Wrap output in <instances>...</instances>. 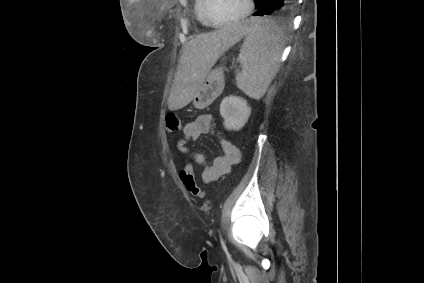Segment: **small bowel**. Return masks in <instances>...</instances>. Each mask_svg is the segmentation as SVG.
<instances>
[{
    "mask_svg": "<svg viewBox=\"0 0 424 283\" xmlns=\"http://www.w3.org/2000/svg\"><path fill=\"white\" fill-rule=\"evenodd\" d=\"M213 131V117L211 114H202L193 121L188 122L183 128V137L177 142V149L183 154H191L195 163L202 165L201 179L205 184L217 180L228 173L232 165L240 161L241 152L231 141L223 138L221 140L222 154L208 163L205 156L198 151H192L188 146L189 141H195L202 135ZM193 165L187 163L185 166Z\"/></svg>",
    "mask_w": 424,
    "mask_h": 283,
    "instance_id": "c3829d8e",
    "label": "small bowel"
}]
</instances>
